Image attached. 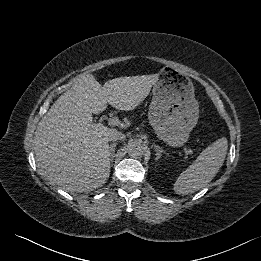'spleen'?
Returning a JSON list of instances; mask_svg holds the SVG:
<instances>
[{
    "label": "spleen",
    "mask_w": 261,
    "mask_h": 261,
    "mask_svg": "<svg viewBox=\"0 0 261 261\" xmlns=\"http://www.w3.org/2000/svg\"><path fill=\"white\" fill-rule=\"evenodd\" d=\"M228 141L220 138L204 149L197 159L183 171L173 190L179 195H188L202 189L218 173L227 154Z\"/></svg>",
    "instance_id": "spleen-1"
}]
</instances>
